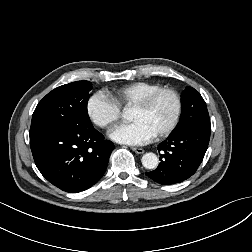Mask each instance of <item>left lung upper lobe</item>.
Here are the masks:
<instances>
[{
	"label": "left lung upper lobe",
	"instance_id": "1",
	"mask_svg": "<svg viewBox=\"0 0 252 252\" xmlns=\"http://www.w3.org/2000/svg\"><path fill=\"white\" fill-rule=\"evenodd\" d=\"M182 114L178 125L171 134L178 133L183 129L205 125L210 126V118L206 103L200 93L192 87H186L181 96Z\"/></svg>",
	"mask_w": 252,
	"mask_h": 252
}]
</instances>
